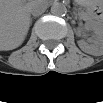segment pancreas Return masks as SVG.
Segmentation results:
<instances>
[{"label":"pancreas","instance_id":"pancreas-1","mask_svg":"<svg viewBox=\"0 0 103 103\" xmlns=\"http://www.w3.org/2000/svg\"><path fill=\"white\" fill-rule=\"evenodd\" d=\"M78 15L83 20H86V21L90 20L89 16L81 9H78Z\"/></svg>","mask_w":103,"mask_h":103}]
</instances>
